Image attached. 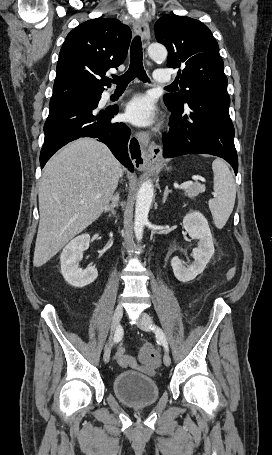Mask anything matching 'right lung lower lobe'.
Here are the masks:
<instances>
[{
  "label": "right lung lower lobe",
  "mask_w": 272,
  "mask_h": 455,
  "mask_svg": "<svg viewBox=\"0 0 272 455\" xmlns=\"http://www.w3.org/2000/svg\"><path fill=\"white\" fill-rule=\"evenodd\" d=\"M100 100V99H99ZM98 104L87 107H65L50 112L44 124L45 139L40 153L41 168L61 147L80 137L98 138L130 171L133 164L128 156L130 129L123 123H111L118 107L98 110Z\"/></svg>",
  "instance_id": "right-lung-lower-lobe-1"
}]
</instances>
